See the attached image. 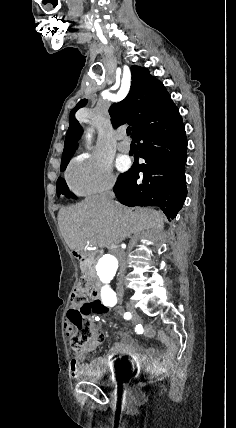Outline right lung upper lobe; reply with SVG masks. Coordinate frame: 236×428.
Masks as SVG:
<instances>
[{
    "instance_id": "1",
    "label": "right lung upper lobe",
    "mask_w": 236,
    "mask_h": 428,
    "mask_svg": "<svg viewBox=\"0 0 236 428\" xmlns=\"http://www.w3.org/2000/svg\"><path fill=\"white\" fill-rule=\"evenodd\" d=\"M131 73L132 85L130 93L121 102L114 103L110 107L109 113L115 128L127 122L132 126L134 133L148 120L169 111L175 104L164 85L151 76L147 69L134 65L131 66ZM86 102V99L79 101L70 112L61 169L66 168L75 152L76 143L82 134L81 126L75 119V112L83 107Z\"/></svg>"
}]
</instances>
